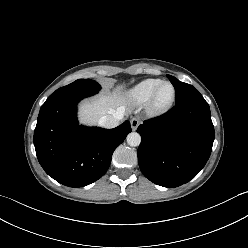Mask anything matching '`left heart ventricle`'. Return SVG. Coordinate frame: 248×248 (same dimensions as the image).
Listing matches in <instances>:
<instances>
[{
  "label": "left heart ventricle",
  "instance_id": "b2bd125f",
  "mask_svg": "<svg viewBox=\"0 0 248 248\" xmlns=\"http://www.w3.org/2000/svg\"><path fill=\"white\" fill-rule=\"evenodd\" d=\"M171 96H172V88L167 85L161 89L158 100L160 103H166L170 100Z\"/></svg>",
  "mask_w": 248,
  "mask_h": 248
}]
</instances>
